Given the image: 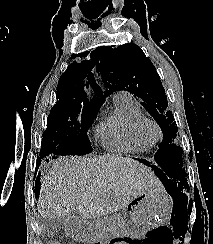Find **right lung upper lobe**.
Listing matches in <instances>:
<instances>
[{"label": "right lung upper lobe", "instance_id": "1", "mask_svg": "<svg viewBox=\"0 0 213 244\" xmlns=\"http://www.w3.org/2000/svg\"><path fill=\"white\" fill-rule=\"evenodd\" d=\"M95 64L94 60L91 63L87 61L74 62L66 69L58 82L56 93L58 101L54 107L100 108L104 97L92 74Z\"/></svg>", "mask_w": 213, "mask_h": 244}]
</instances>
